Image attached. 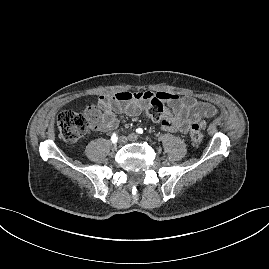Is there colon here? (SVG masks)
Returning <instances> with one entry per match:
<instances>
[{
  "label": "colon",
  "instance_id": "5ec220e1",
  "mask_svg": "<svg viewBox=\"0 0 269 269\" xmlns=\"http://www.w3.org/2000/svg\"><path fill=\"white\" fill-rule=\"evenodd\" d=\"M145 114L151 119L167 118L170 111L159 97H154L145 108ZM59 136L62 140L73 143L79 140L91 127H96L97 118L90 108L85 113L66 110L58 114L56 119ZM193 144L199 145L204 139L203 127L194 123L189 132Z\"/></svg>",
  "mask_w": 269,
  "mask_h": 269
}]
</instances>
